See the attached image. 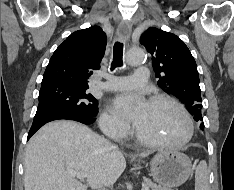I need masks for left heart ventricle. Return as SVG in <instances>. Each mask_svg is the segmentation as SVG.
Returning <instances> with one entry per match:
<instances>
[{
  "label": "left heart ventricle",
  "mask_w": 234,
  "mask_h": 190,
  "mask_svg": "<svg viewBox=\"0 0 234 190\" xmlns=\"http://www.w3.org/2000/svg\"><path fill=\"white\" fill-rule=\"evenodd\" d=\"M136 126L143 136L153 140H178L186 132L181 113L165 101L148 103Z\"/></svg>",
  "instance_id": "left-heart-ventricle-1"
}]
</instances>
